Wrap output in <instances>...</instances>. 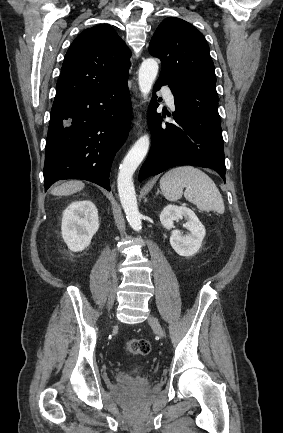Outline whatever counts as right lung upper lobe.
<instances>
[{
    "instance_id": "obj_1",
    "label": "right lung upper lobe",
    "mask_w": 283,
    "mask_h": 433,
    "mask_svg": "<svg viewBox=\"0 0 283 433\" xmlns=\"http://www.w3.org/2000/svg\"><path fill=\"white\" fill-rule=\"evenodd\" d=\"M130 50L108 24L84 30L69 47L55 100L119 85L130 68Z\"/></svg>"
}]
</instances>
